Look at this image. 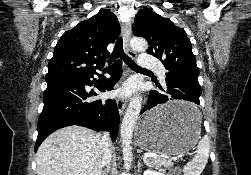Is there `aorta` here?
<instances>
[{"instance_id":"1","label":"aorta","mask_w":251,"mask_h":175,"mask_svg":"<svg viewBox=\"0 0 251 175\" xmlns=\"http://www.w3.org/2000/svg\"><path fill=\"white\" fill-rule=\"evenodd\" d=\"M131 46L135 52H146L148 48L146 40H142V38H133V40H131ZM141 103L142 97L139 95V93H137L135 97H132L121 123L120 133L121 141L123 143L122 151L124 155L123 159H125V169H129L130 163L133 159L132 147L130 143L133 135V129L137 123L138 115L141 111Z\"/></svg>"}]
</instances>
